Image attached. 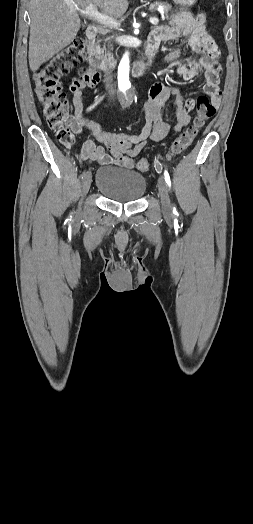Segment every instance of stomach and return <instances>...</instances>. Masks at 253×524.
<instances>
[{"instance_id": "stomach-1", "label": "stomach", "mask_w": 253, "mask_h": 524, "mask_svg": "<svg viewBox=\"0 0 253 524\" xmlns=\"http://www.w3.org/2000/svg\"><path fill=\"white\" fill-rule=\"evenodd\" d=\"M176 4L181 6H192L194 5L197 0H173Z\"/></svg>"}]
</instances>
